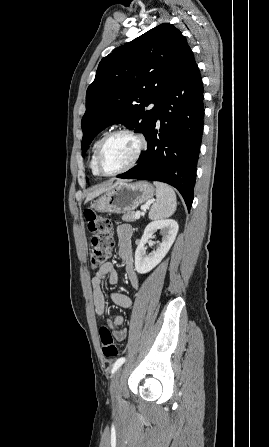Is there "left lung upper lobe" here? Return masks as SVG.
Listing matches in <instances>:
<instances>
[{
    "label": "left lung upper lobe",
    "mask_w": 269,
    "mask_h": 447,
    "mask_svg": "<svg viewBox=\"0 0 269 447\" xmlns=\"http://www.w3.org/2000/svg\"><path fill=\"white\" fill-rule=\"evenodd\" d=\"M189 48L181 32L164 23L101 60L86 92L83 156L93 138L114 123L146 135ZM150 103L155 107L146 110Z\"/></svg>",
    "instance_id": "left-lung-upper-lobe-1"
}]
</instances>
